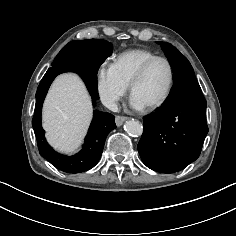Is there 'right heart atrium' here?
Listing matches in <instances>:
<instances>
[{
	"label": "right heart atrium",
	"instance_id": "d8ad5b80",
	"mask_svg": "<svg viewBox=\"0 0 236 236\" xmlns=\"http://www.w3.org/2000/svg\"><path fill=\"white\" fill-rule=\"evenodd\" d=\"M96 90L105 105L114 108L128 91L112 65L102 64L96 71Z\"/></svg>",
	"mask_w": 236,
	"mask_h": 236
}]
</instances>
